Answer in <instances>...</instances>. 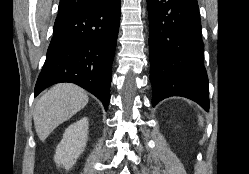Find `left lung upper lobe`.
Wrapping results in <instances>:
<instances>
[{
	"label": "left lung upper lobe",
	"mask_w": 249,
	"mask_h": 174,
	"mask_svg": "<svg viewBox=\"0 0 249 174\" xmlns=\"http://www.w3.org/2000/svg\"><path fill=\"white\" fill-rule=\"evenodd\" d=\"M191 1H193V2L197 3V0H191ZM197 4H198V3H197Z\"/></svg>",
	"instance_id": "1"
}]
</instances>
